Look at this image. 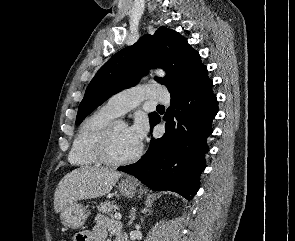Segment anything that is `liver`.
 Here are the masks:
<instances>
[{
	"label": "liver",
	"instance_id": "liver-1",
	"mask_svg": "<svg viewBox=\"0 0 295 241\" xmlns=\"http://www.w3.org/2000/svg\"><path fill=\"white\" fill-rule=\"evenodd\" d=\"M121 176L120 172L92 166L73 170L62 178L55 190L54 209L56 213L78 200L108 194Z\"/></svg>",
	"mask_w": 295,
	"mask_h": 241
}]
</instances>
